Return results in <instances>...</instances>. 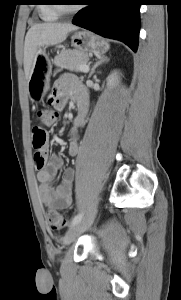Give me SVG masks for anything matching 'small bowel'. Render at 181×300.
Returning a JSON list of instances; mask_svg holds the SVG:
<instances>
[{
  "label": "small bowel",
  "instance_id": "small-bowel-1",
  "mask_svg": "<svg viewBox=\"0 0 181 300\" xmlns=\"http://www.w3.org/2000/svg\"><path fill=\"white\" fill-rule=\"evenodd\" d=\"M69 97H72L77 105V112L71 123L67 144L68 154L74 157L79 153V131L85 123L88 96L74 76L64 74L55 81L50 102L57 110H63ZM42 155L45 158V163L38 168L37 173V179L40 183L39 199L47 208L68 209L73 198L75 171L73 168H66L63 171L60 184L53 187L51 183L62 169L63 160L57 155L47 157L45 151L42 152Z\"/></svg>",
  "mask_w": 181,
  "mask_h": 300
}]
</instances>
